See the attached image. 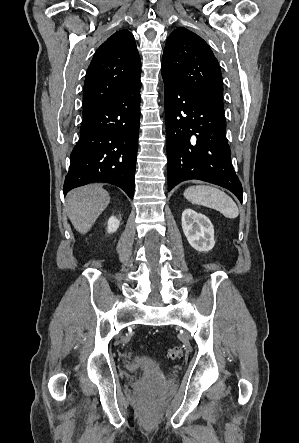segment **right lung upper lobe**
<instances>
[{
	"instance_id": "right-lung-upper-lobe-1",
	"label": "right lung upper lobe",
	"mask_w": 299,
	"mask_h": 443,
	"mask_svg": "<svg viewBox=\"0 0 299 443\" xmlns=\"http://www.w3.org/2000/svg\"><path fill=\"white\" fill-rule=\"evenodd\" d=\"M141 62L128 30L110 36L95 52L84 83L83 114L140 82Z\"/></svg>"
}]
</instances>
